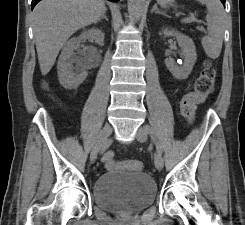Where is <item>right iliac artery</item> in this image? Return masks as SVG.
Masks as SVG:
<instances>
[{"instance_id":"obj_1","label":"right iliac artery","mask_w":245,"mask_h":225,"mask_svg":"<svg viewBox=\"0 0 245 225\" xmlns=\"http://www.w3.org/2000/svg\"><path fill=\"white\" fill-rule=\"evenodd\" d=\"M109 142H110V141H109ZM107 147H108V144L104 147L103 151H104ZM103 151H102V152H103Z\"/></svg>"}]
</instances>
